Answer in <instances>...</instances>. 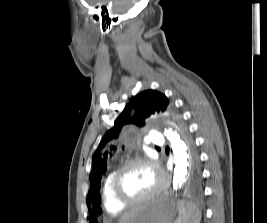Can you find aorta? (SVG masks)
<instances>
[{
    "label": "aorta",
    "mask_w": 267,
    "mask_h": 223,
    "mask_svg": "<svg viewBox=\"0 0 267 223\" xmlns=\"http://www.w3.org/2000/svg\"><path fill=\"white\" fill-rule=\"evenodd\" d=\"M164 135L169 140L174 156V172L171 189L177 192L186 181L189 171V155L187 145L176 129L165 128Z\"/></svg>",
    "instance_id": "762f6f07"
}]
</instances>
